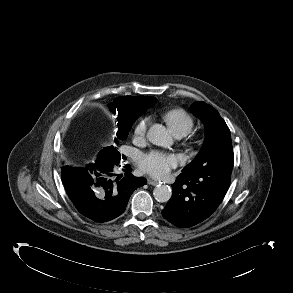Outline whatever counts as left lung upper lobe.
Returning a JSON list of instances; mask_svg holds the SVG:
<instances>
[{
	"label": "left lung upper lobe",
	"mask_w": 293,
	"mask_h": 293,
	"mask_svg": "<svg viewBox=\"0 0 293 293\" xmlns=\"http://www.w3.org/2000/svg\"><path fill=\"white\" fill-rule=\"evenodd\" d=\"M191 112L203 120L206 140L196 158L182 172L232 171L234 154L230 130L225 121L217 110L202 101L194 102Z\"/></svg>",
	"instance_id": "1"
}]
</instances>
